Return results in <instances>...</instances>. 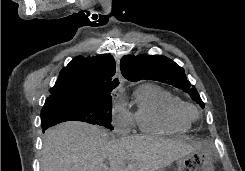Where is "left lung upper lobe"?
Here are the masks:
<instances>
[{"label":"left lung upper lobe","mask_w":245,"mask_h":171,"mask_svg":"<svg viewBox=\"0 0 245 171\" xmlns=\"http://www.w3.org/2000/svg\"><path fill=\"white\" fill-rule=\"evenodd\" d=\"M122 75L129 81L154 80L170 84L188 93L202 108L201 100L196 88L186 79L184 69L171 59L160 55H127L121 59Z\"/></svg>","instance_id":"obj_1"}]
</instances>
